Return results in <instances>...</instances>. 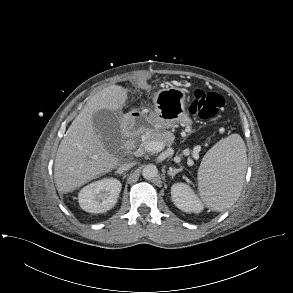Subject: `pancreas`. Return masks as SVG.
Listing matches in <instances>:
<instances>
[{"instance_id": "cf45deb5", "label": "pancreas", "mask_w": 293, "mask_h": 293, "mask_svg": "<svg viewBox=\"0 0 293 293\" xmlns=\"http://www.w3.org/2000/svg\"><path fill=\"white\" fill-rule=\"evenodd\" d=\"M144 145L148 141H160L166 146H171L173 141V134L169 131H161V130H150L143 134Z\"/></svg>"}]
</instances>
